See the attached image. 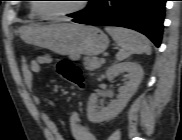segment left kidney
Instances as JSON below:
<instances>
[{"label": "left kidney", "mask_w": 182, "mask_h": 140, "mask_svg": "<svg viewBox=\"0 0 182 140\" xmlns=\"http://www.w3.org/2000/svg\"><path fill=\"white\" fill-rule=\"evenodd\" d=\"M121 73H127L128 81L119 88L117 99L111 101L108 106H99L97 94L90 95L87 105V117L91 122H102L116 117L137 91L143 78L142 67L134 62L116 63L107 69L106 76L109 80H112Z\"/></svg>", "instance_id": "left-kidney-1"}]
</instances>
